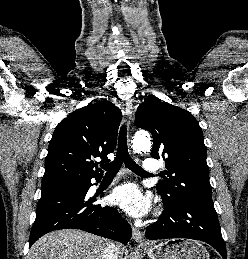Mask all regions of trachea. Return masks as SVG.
Masks as SVG:
<instances>
[{
    "mask_svg": "<svg viewBox=\"0 0 248 259\" xmlns=\"http://www.w3.org/2000/svg\"><path fill=\"white\" fill-rule=\"evenodd\" d=\"M123 163L136 174H148L134 162L128 153L126 125H123L120 129L118 150L114 160L111 163L101 165V167L106 171V175H115L120 170Z\"/></svg>",
    "mask_w": 248,
    "mask_h": 259,
    "instance_id": "trachea-1",
    "label": "trachea"
}]
</instances>
